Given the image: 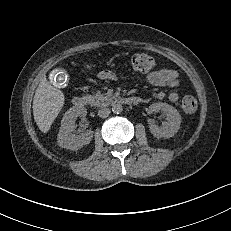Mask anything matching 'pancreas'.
I'll list each match as a JSON object with an SVG mask.
<instances>
[{"label": "pancreas", "instance_id": "obj_1", "mask_svg": "<svg viewBox=\"0 0 231 231\" xmlns=\"http://www.w3.org/2000/svg\"><path fill=\"white\" fill-rule=\"evenodd\" d=\"M112 99L113 96L108 94H102L100 91L87 97L89 104L93 106L107 105Z\"/></svg>", "mask_w": 231, "mask_h": 231}]
</instances>
